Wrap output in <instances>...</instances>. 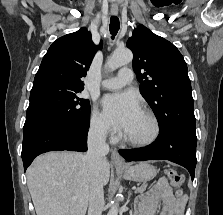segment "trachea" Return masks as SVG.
Listing matches in <instances>:
<instances>
[{"mask_svg": "<svg viewBox=\"0 0 223 215\" xmlns=\"http://www.w3.org/2000/svg\"><path fill=\"white\" fill-rule=\"evenodd\" d=\"M119 28H120L119 18L112 16L110 19V25H109L112 39H114L115 35L118 33Z\"/></svg>", "mask_w": 223, "mask_h": 215, "instance_id": "3493384b", "label": "trachea"}]
</instances>
